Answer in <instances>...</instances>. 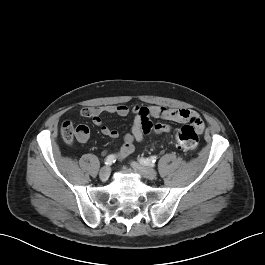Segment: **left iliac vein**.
Returning a JSON list of instances; mask_svg holds the SVG:
<instances>
[{
    "label": "left iliac vein",
    "mask_w": 265,
    "mask_h": 265,
    "mask_svg": "<svg viewBox=\"0 0 265 265\" xmlns=\"http://www.w3.org/2000/svg\"><path fill=\"white\" fill-rule=\"evenodd\" d=\"M131 166L136 171H138L143 177H145L147 179L153 180V179H156V177H157V172L154 169L150 168V167H146V166L140 165V164H138L136 162H132Z\"/></svg>",
    "instance_id": "left-iliac-vein-1"
}]
</instances>
